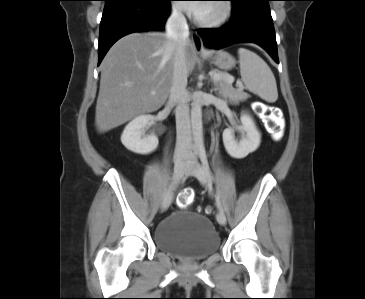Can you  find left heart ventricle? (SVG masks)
Wrapping results in <instances>:
<instances>
[{
  "label": "left heart ventricle",
  "mask_w": 365,
  "mask_h": 299,
  "mask_svg": "<svg viewBox=\"0 0 365 299\" xmlns=\"http://www.w3.org/2000/svg\"><path fill=\"white\" fill-rule=\"evenodd\" d=\"M221 12L219 3L206 4L204 10L198 15L201 19H211L218 16Z\"/></svg>",
  "instance_id": "1"
}]
</instances>
